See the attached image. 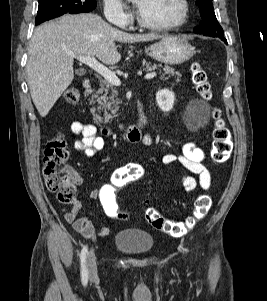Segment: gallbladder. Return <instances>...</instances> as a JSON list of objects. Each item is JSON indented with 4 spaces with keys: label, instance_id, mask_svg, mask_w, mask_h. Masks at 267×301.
Wrapping results in <instances>:
<instances>
[{
    "label": "gallbladder",
    "instance_id": "obj_1",
    "mask_svg": "<svg viewBox=\"0 0 267 301\" xmlns=\"http://www.w3.org/2000/svg\"><path fill=\"white\" fill-rule=\"evenodd\" d=\"M76 73H77L79 76H82V75L85 74V71H84V70H78Z\"/></svg>",
    "mask_w": 267,
    "mask_h": 301
}]
</instances>
